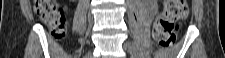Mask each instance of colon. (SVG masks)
Segmentation results:
<instances>
[{"instance_id":"obj_1","label":"colon","mask_w":225,"mask_h":58,"mask_svg":"<svg viewBox=\"0 0 225 58\" xmlns=\"http://www.w3.org/2000/svg\"><path fill=\"white\" fill-rule=\"evenodd\" d=\"M35 12L49 28L55 39L64 36L66 29V10L57 0L35 2ZM190 8L187 0H167L163 11L153 25V37L164 48H169L177 40L180 22L188 17Z\"/></svg>"}]
</instances>
